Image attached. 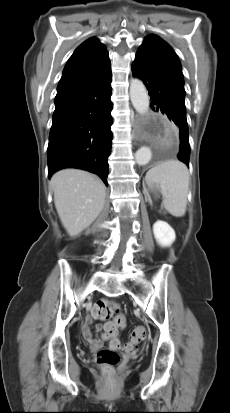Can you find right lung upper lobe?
I'll return each mask as SVG.
<instances>
[{
	"instance_id": "1",
	"label": "right lung upper lobe",
	"mask_w": 230,
	"mask_h": 413,
	"mask_svg": "<svg viewBox=\"0 0 230 413\" xmlns=\"http://www.w3.org/2000/svg\"><path fill=\"white\" fill-rule=\"evenodd\" d=\"M110 72V60L105 45L95 37L89 38L68 60L57 91L95 81Z\"/></svg>"
}]
</instances>
